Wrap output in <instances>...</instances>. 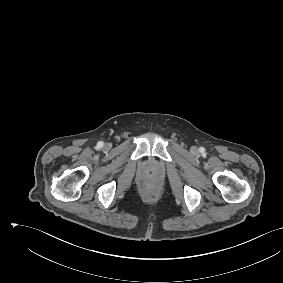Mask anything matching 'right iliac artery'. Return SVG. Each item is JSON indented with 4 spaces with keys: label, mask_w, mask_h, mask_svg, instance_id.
Here are the masks:
<instances>
[{
    "label": "right iliac artery",
    "mask_w": 283,
    "mask_h": 283,
    "mask_svg": "<svg viewBox=\"0 0 283 283\" xmlns=\"http://www.w3.org/2000/svg\"><path fill=\"white\" fill-rule=\"evenodd\" d=\"M103 145H104V143L102 141H100V142H98L97 147L101 148V147H103Z\"/></svg>",
    "instance_id": "obj_1"
}]
</instances>
